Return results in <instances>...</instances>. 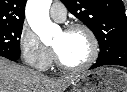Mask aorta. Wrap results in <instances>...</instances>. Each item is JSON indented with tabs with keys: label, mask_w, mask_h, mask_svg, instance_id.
Here are the masks:
<instances>
[{
	"label": "aorta",
	"mask_w": 127,
	"mask_h": 92,
	"mask_svg": "<svg viewBox=\"0 0 127 92\" xmlns=\"http://www.w3.org/2000/svg\"><path fill=\"white\" fill-rule=\"evenodd\" d=\"M50 6L51 0H28L26 4L27 21L43 43L51 42L52 36L59 30L58 25L50 20Z\"/></svg>",
	"instance_id": "1"
}]
</instances>
